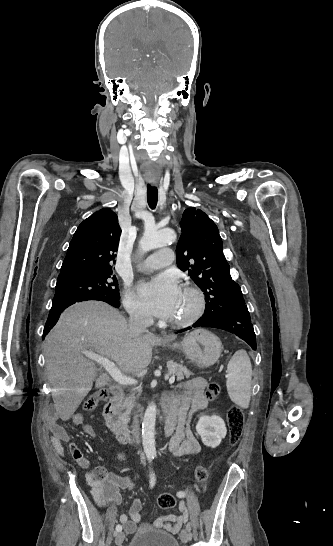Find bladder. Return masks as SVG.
<instances>
[{
  "mask_svg": "<svg viewBox=\"0 0 333 546\" xmlns=\"http://www.w3.org/2000/svg\"><path fill=\"white\" fill-rule=\"evenodd\" d=\"M128 546H180L171 534L153 527L143 526L132 536Z\"/></svg>",
  "mask_w": 333,
  "mask_h": 546,
  "instance_id": "1",
  "label": "bladder"
}]
</instances>
